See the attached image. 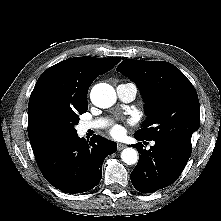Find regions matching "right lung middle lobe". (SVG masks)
<instances>
[{
	"instance_id": "dd1d6c3e",
	"label": "right lung middle lobe",
	"mask_w": 221,
	"mask_h": 221,
	"mask_svg": "<svg viewBox=\"0 0 221 221\" xmlns=\"http://www.w3.org/2000/svg\"><path fill=\"white\" fill-rule=\"evenodd\" d=\"M88 104L79 108L49 107L44 113V124L48 132L61 140L77 134L75 125L79 122V115L85 113Z\"/></svg>"
}]
</instances>
